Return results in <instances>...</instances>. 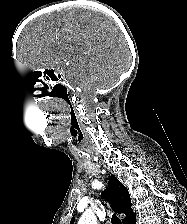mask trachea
I'll list each match as a JSON object with an SVG mask.
<instances>
[{"instance_id": "1", "label": "trachea", "mask_w": 187, "mask_h": 224, "mask_svg": "<svg viewBox=\"0 0 187 224\" xmlns=\"http://www.w3.org/2000/svg\"><path fill=\"white\" fill-rule=\"evenodd\" d=\"M111 222L112 224H121V220L117 217L116 214L112 215Z\"/></svg>"}]
</instances>
